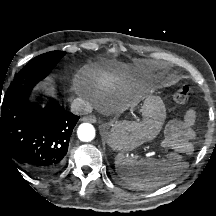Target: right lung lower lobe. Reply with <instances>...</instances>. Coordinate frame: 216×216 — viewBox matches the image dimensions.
Here are the masks:
<instances>
[{
	"label": "right lung lower lobe",
	"instance_id": "98d812e1",
	"mask_svg": "<svg viewBox=\"0 0 216 216\" xmlns=\"http://www.w3.org/2000/svg\"><path fill=\"white\" fill-rule=\"evenodd\" d=\"M30 97L31 91L2 103L0 157L10 158L33 176L45 177L61 169L79 117L54 99L42 108Z\"/></svg>",
	"mask_w": 216,
	"mask_h": 216
}]
</instances>
